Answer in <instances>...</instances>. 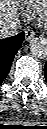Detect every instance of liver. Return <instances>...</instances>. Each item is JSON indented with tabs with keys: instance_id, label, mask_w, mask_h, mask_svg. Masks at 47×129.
Wrapping results in <instances>:
<instances>
[{
	"instance_id": "obj_1",
	"label": "liver",
	"mask_w": 47,
	"mask_h": 129,
	"mask_svg": "<svg viewBox=\"0 0 47 129\" xmlns=\"http://www.w3.org/2000/svg\"><path fill=\"white\" fill-rule=\"evenodd\" d=\"M27 0H0V26L11 20H15L18 16V10L21 4ZM32 2H30L31 4Z\"/></svg>"
}]
</instances>
